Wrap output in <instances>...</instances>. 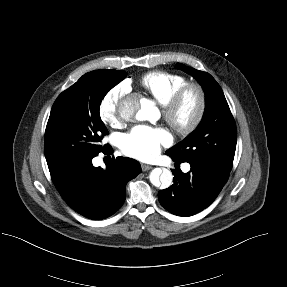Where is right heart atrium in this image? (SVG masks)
Here are the masks:
<instances>
[{
  "label": "right heart atrium",
  "mask_w": 287,
  "mask_h": 287,
  "mask_svg": "<svg viewBox=\"0 0 287 287\" xmlns=\"http://www.w3.org/2000/svg\"><path fill=\"white\" fill-rule=\"evenodd\" d=\"M128 92V86L125 83H120L109 90L99 103L98 113L101 121L111 127L120 124L121 118L119 107L122 98Z\"/></svg>",
  "instance_id": "right-heart-atrium-1"
}]
</instances>
